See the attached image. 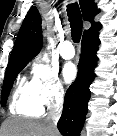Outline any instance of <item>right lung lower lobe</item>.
<instances>
[{"label": "right lung lower lobe", "mask_w": 117, "mask_h": 136, "mask_svg": "<svg viewBox=\"0 0 117 136\" xmlns=\"http://www.w3.org/2000/svg\"><path fill=\"white\" fill-rule=\"evenodd\" d=\"M99 30L82 37L77 79L65 94L63 112L57 124L63 136H79L83 127L90 99L89 86L94 80L93 70L98 60Z\"/></svg>", "instance_id": "98d812e1"}]
</instances>
